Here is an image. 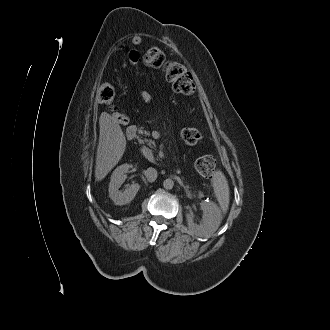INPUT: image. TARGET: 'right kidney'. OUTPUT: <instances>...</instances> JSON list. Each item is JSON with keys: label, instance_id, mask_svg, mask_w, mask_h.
<instances>
[{"label": "right kidney", "instance_id": "obj_1", "mask_svg": "<svg viewBox=\"0 0 330 330\" xmlns=\"http://www.w3.org/2000/svg\"><path fill=\"white\" fill-rule=\"evenodd\" d=\"M129 168V164H122L118 166L111 175L108 191L109 197L115 205H125L130 203L140 189V185L138 183H134L124 191L119 190L127 177L126 173Z\"/></svg>", "mask_w": 330, "mask_h": 330}]
</instances>
